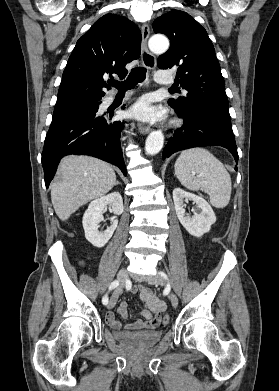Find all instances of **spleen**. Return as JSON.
Listing matches in <instances>:
<instances>
[{"mask_svg":"<svg viewBox=\"0 0 279 391\" xmlns=\"http://www.w3.org/2000/svg\"><path fill=\"white\" fill-rule=\"evenodd\" d=\"M174 167L175 175L184 187L192 191H204L216 208L228 205L231 177L222 162L207 149L197 147L184 150Z\"/></svg>","mask_w":279,"mask_h":391,"instance_id":"3e777b00","label":"spleen"}]
</instances>
